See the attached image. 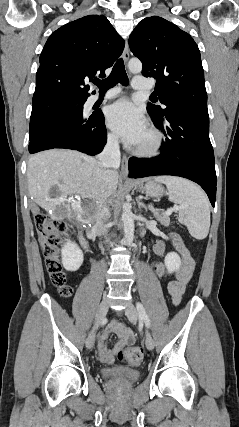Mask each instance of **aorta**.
I'll list each match as a JSON object with an SVG mask.
<instances>
[{
  "label": "aorta",
  "mask_w": 239,
  "mask_h": 427,
  "mask_svg": "<svg viewBox=\"0 0 239 427\" xmlns=\"http://www.w3.org/2000/svg\"><path fill=\"white\" fill-rule=\"evenodd\" d=\"M128 68L132 73H140L142 63L138 59H131L128 63ZM122 220L124 223V236L127 245H132L134 240V215L132 213L131 204H123Z\"/></svg>",
  "instance_id": "1"
}]
</instances>
